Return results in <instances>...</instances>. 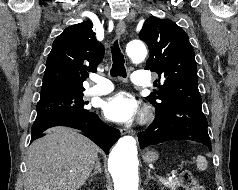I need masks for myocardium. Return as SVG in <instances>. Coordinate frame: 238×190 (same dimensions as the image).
I'll return each instance as SVG.
<instances>
[{"mask_svg":"<svg viewBox=\"0 0 238 190\" xmlns=\"http://www.w3.org/2000/svg\"><path fill=\"white\" fill-rule=\"evenodd\" d=\"M151 119V113L149 110L145 109L141 115V123H147Z\"/></svg>","mask_w":238,"mask_h":190,"instance_id":"1","label":"myocardium"}]
</instances>
